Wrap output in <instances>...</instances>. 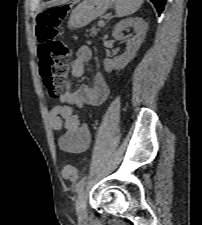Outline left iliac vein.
<instances>
[{"label":"left iliac vein","mask_w":202,"mask_h":225,"mask_svg":"<svg viewBox=\"0 0 202 225\" xmlns=\"http://www.w3.org/2000/svg\"><path fill=\"white\" fill-rule=\"evenodd\" d=\"M76 210L79 220L84 221L87 217L86 193L84 190H82L78 195L76 202Z\"/></svg>","instance_id":"1"}]
</instances>
